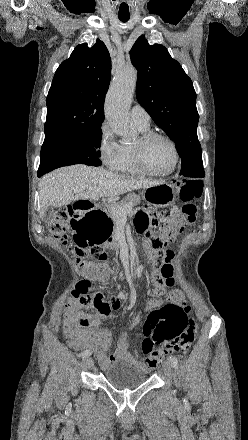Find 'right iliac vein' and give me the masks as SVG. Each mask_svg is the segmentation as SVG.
I'll return each instance as SVG.
<instances>
[{
	"label": "right iliac vein",
	"instance_id": "right-iliac-vein-1",
	"mask_svg": "<svg viewBox=\"0 0 248 440\" xmlns=\"http://www.w3.org/2000/svg\"><path fill=\"white\" fill-rule=\"evenodd\" d=\"M93 359L91 357L84 358V365L87 369H91L93 367Z\"/></svg>",
	"mask_w": 248,
	"mask_h": 440
}]
</instances>
